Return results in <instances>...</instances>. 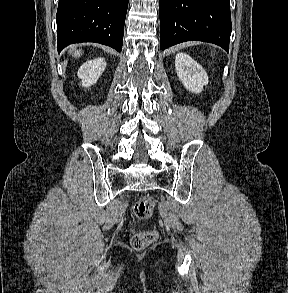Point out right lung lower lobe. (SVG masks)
Instances as JSON below:
<instances>
[{
	"instance_id": "right-lung-lower-lobe-1",
	"label": "right lung lower lobe",
	"mask_w": 288,
	"mask_h": 293,
	"mask_svg": "<svg viewBox=\"0 0 288 293\" xmlns=\"http://www.w3.org/2000/svg\"><path fill=\"white\" fill-rule=\"evenodd\" d=\"M129 0H59L57 47L96 42L122 50Z\"/></svg>"
}]
</instances>
